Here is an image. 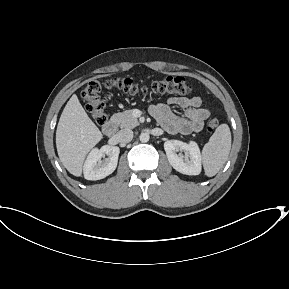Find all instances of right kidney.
<instances>
[{
  "instance_id": "right-kidney-1",
  "label": "right kidney",
  "mask_w": 289,
  "mask_h": 289,
  "mask_svg": "<svg viewBox=\"0 0 289 289\" xmlns=\"http://www.w3.org/2000/svg\"><path fill=\"white\" fill-rule=\"evenodd\" d=\"M120 149L117 146L104 145L100 149L94 148L89 153L84 166V177L87 180H100L114 172L117 167ZM107 155L105 161L101 158Z\"/></svg>"
}]
</instances>
